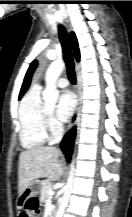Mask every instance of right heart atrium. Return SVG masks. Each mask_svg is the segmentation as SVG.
<instances>
[{
    "mask_svg": "<svg viewBox=\"0 0 132 217\" xmlns=\"http://www.w3.org/2000/svg\"><path fill=\"white\" fill-rule=\"evenodd\" d=\"M46 127L51 134L56 135L61 131V126L54 119L48 118L46 122Z\"/></svg>",
    "mask_w": 132,
    "mask_h": 217,
    "instance_id": "right-heart-atrium-1",
    "label": "right heart atrium"
}]
</instances>
